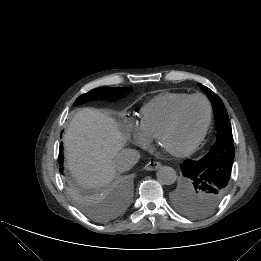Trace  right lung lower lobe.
I'll return each instance as SVG.
<instances>
[{"instance_id": "1", "label": "right lung lower lobe", "mask_w": 261, "mask_h": 261, "mask_svg": "<svg viewBox=\"0 0 261 261\" xmlns=\"http://www.w3.org/2000/svg\"><path fill=\"white\" fill-rule=\"evenodd\" d=\"M59 164H60V169L63 165V152H62V146L60 147V151H59Z\"/></svg>"}]
</instances>
